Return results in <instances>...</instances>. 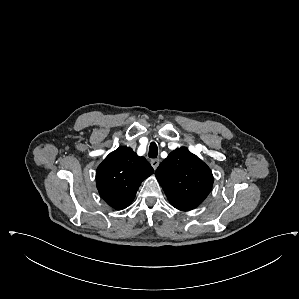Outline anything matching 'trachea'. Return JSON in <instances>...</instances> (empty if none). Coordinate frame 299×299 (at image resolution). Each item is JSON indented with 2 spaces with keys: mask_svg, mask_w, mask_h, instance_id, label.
<instances>
[{
  "mask_svg": "<svg viewBox=\"0 0 299 299\" xmlns=\"http://www.w3.org/2000/svg\"><path fill=\"white\" fill-rule=\"evenodd\" d=\"M150 158H156L158 155V147L155 142H151L149 146V153H148Z\"/></svg>",
  "mask_w": 299,
  "mask_h": 299,
  "instance_id": "obj_1",
  "label": "trachea"
}]
</instances>
